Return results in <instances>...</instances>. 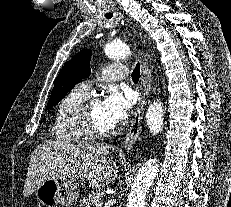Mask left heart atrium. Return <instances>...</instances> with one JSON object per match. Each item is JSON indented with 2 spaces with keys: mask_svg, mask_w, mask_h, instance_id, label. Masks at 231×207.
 Instances as JSON below:
<instances>
[{
  "mask_svg": "<svg viewBox=\"0 0 231 207\" xmlns=\"http://www.w3.org/2000/svg\"><path fill=\"white\" fill-rule=\"evenodd\" d=\"M134 104V96L130 91L124 93L112 90L101 102L106 119L114 126L125 120Z\"/></svg>",
  "mask_w": 231,
  "mask_h": 207,
  "instance_id": "left-heart-atrium-1",
  "label": "left heart atrium"
}]
</instances>
